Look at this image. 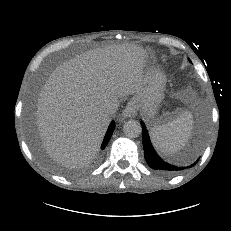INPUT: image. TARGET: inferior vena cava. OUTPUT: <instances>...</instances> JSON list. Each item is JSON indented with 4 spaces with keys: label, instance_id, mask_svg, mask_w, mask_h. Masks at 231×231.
Segmentation results:
<instances>
[{
    "label": "inferior vena cava",
    "instance_id": "inferior-vena-cava-1",
    "mask_svg": "<svg viewBox=\"0 0 231 231\" xmlns=\"http://www.w3.org/2000/svg\"><path fill=\"white\" fill-rule=\"evenodd\" d=\"M115 111H116V109H115V107L112 106V105L108 106L107 109L105 110V112H106L107 114H113Z\"/></svg>",
    "mask_w": 231,
    "mask_h": 231
}]
</instances>
